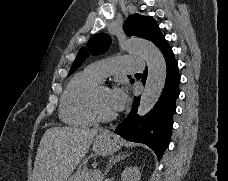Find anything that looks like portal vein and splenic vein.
Listing matches in <instances>:
<instances>
[{"instance_id": "obj_1", "label": "portal vein and splenic vein", "mask_w": 228, "mask_h": 181, "mask_svg": "<svg viewBox=\"0 0 228 181\" xmlns=\"http://www.w3.org/2000/svg\"><path fill=\"white\" fill-rule=\"evenodd\" d=\"M97 172L100 174V173H102L103 171L99 169Z\"/></svg>"}]
</instances>
